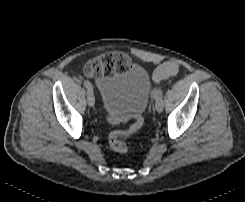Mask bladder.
<instances>
[{
	"instance_id": "31cf9c89",
	"label": "bladder",
	"mask_w": 245,
	"mask_h": 202,
	"mask_svg": "<svg viewBox=\"0 0 245 202\" xmlns=\"http://www.w3.org/2000/svg\"><path fill=\"white\" fill-rule=\"evenodd\" d=\"M96 85L105 113L119 112L123 116L141 114L152 95L149 76L140 65L114 76H99Z\"/></svg>"
}]
</instances>
